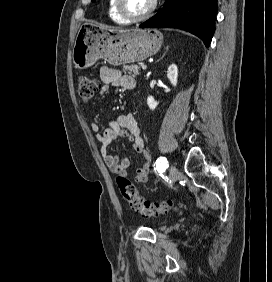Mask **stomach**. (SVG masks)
<instances>
[{"mask_svg":"<svg viewBox=\"0 0 272 282\" xmlns=\"http://www.w3.org/2000/svg\"><path fill=\"white\" fill-rule=\"evenodd\" d=\"M163 35L155 29L122 30L100 24L83 25L75 39L72 61L85 69L104 59L111 65L143 61L159 51Z\"/></svg>","mask_w":272,"mask_h":282,"instance_id":"stomach-1","label":"stomach"}]
</instances>
